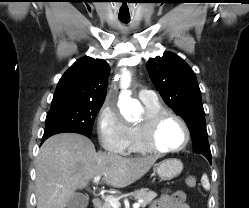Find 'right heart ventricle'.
<instances>
[{"label": "right heart ventricle", "mask_w": 249, "mask_h": 208, "mask_svg": "<svg viewBox=\"0 0 249 208\" xmlns=\"http://www.w3.org/2000/svg\"><path fill=\"white\" fill-rule=\"evenodd\" d=\"M163 111V107L157 103L156 105L145 104L146 117ZM139 126L140 124L127 126V149L128 153H144L139 145Z\"/></svg>", "instance_id": "1"}]
</instances>
